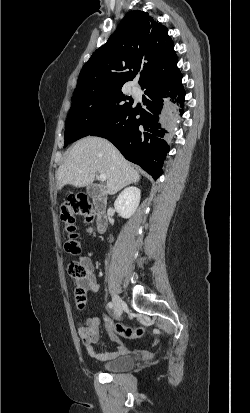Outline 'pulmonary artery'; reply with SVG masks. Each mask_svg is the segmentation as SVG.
Returning a JSON list of instances; mask_svg holds the SVG:
<instances>
[{
    "mask_svg": "<svg viewBox=\"0 0 250 413\" xmlns=\"http://www.w3.org/2000/svg\"><path fill=\"white\" fill-rule=\"evenodd\" d=\"M136 90H137L136 87H132L133 92H136Z\"/></svg>",
    "mask_w": 250,
    "mask_h": 413,
    "instance_id": "1",
    "label": "pulmonary artery"
}]
</instances>
